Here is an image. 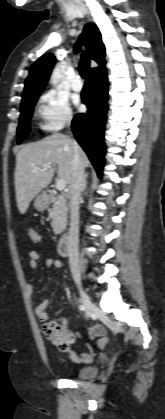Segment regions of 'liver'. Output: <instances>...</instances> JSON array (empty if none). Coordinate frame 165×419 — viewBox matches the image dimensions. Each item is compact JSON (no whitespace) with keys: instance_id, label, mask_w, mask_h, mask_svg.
Listing matches in <instances>:
<instances>
[{"instance_id":"obj_1","label":"liver","mask_w":165,"mask_h":419,"mask_svg":"<svg viewBox=\"0 0 165 419\" xmlns=\"http://www.w3.org/2000/svg\"><path fill=\"white\" fill-rule=\"evenodd\" d=\"M79 153L84 167H87L89 159L80 147ZM73 155V140L60 133L21 148L16 155L14 173L16 201L21 214L26 212L31 200L49 185L56 170L58 177L70 184ZM45 163H50V167H42ZM35 167L39 168L36 173L33 172Z\"/></svg>"}]
</instances>
